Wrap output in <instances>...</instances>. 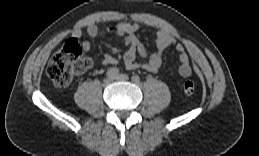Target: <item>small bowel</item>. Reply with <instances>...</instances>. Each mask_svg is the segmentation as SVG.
Here are the masks:
<instances>
[{
	"label": "small bowel",
	"mask_w": 259,
	"mask_h": 156,
	"mask_svg": "<svg viewBox=\"0 0 259 156\" xmlns=\"http://www.w3.org/2000/svg\"><path fill=\"white\" fill-rule=\"evenodd\" d=\"M139 30L138 23H117L109 26L103 30L97 25H90L86 29V34L91 38L101 37L107 34L114 35L122 39L125 45L128 47L127 51L123 55V61L125 66L129 70L138 68L145 69L149 72H157L162 65V55L167 47L175 45L176 51L179 53V67L178 73L181 77H188L192 73V67L190 64V58L185 52V48L181 43H176L175 38L165 30H158L156 32V49L151 54H148L145 46L139 40L136 32ZM83 36L81 29H75L72 32V38L75 40L80 39ZM84 51H89L91 44L88 41L81 43ZM140 57L145 59V62H138L136 59ZM117 63V58L110 54H105L101 60L103 65H112Z\"/></svg>",
	"instance_id": "1"
}]
</instances>
